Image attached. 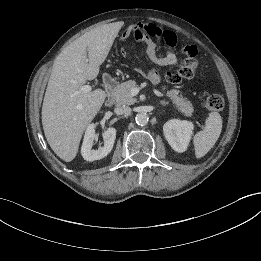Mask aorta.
Wrapping results in <instances>:
<instances>
[{
  "label": "aorta",
  "mask_w": 261,
  "mask_h": 261,
  "mask_svg": "<svg viewBox=\"0 0 261 261\" xmlns=\"http://www.w3.org/2000/svg\"><path fill=\"white\" fill-rule=\"evenodd\" d=\"M135 121L138 125L145 126L149 121V117L146 113H138L135 117Z\"/></svg>",
  "instance_id": "1"
}]
</instances>
